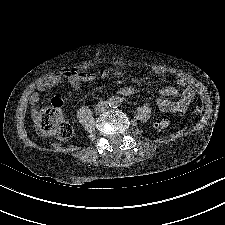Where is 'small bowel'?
<instances>
[{
    "label": "small bowel",
    "mask_w": 225,
    "mask_h": 225,
    "mask_svg": "<svg viewBox=\"0 0 225 225\" xmlns=\"http://www.w3.org/2000/svg\"><path fill=\"white\" fill-rule=\"evenodd\" d=\"M155 72L158 74H161L164 72L163 69L161 68H156ZM69 74L65 76L70 83L71 86L73 87H79L82 82L84 81H91L95 77L91 73H74V72H68ZM120 73L116 72L114 76H119ZM63 80L62 75L60 74H55L51 75L47 78H45L38 86L37 88L33 91L30 97V102L32 105H36L39 100H40V93L46 88H51L56 85H58L61 81ZM178 84L182 87H184L183 94L181 98L177 101H170L164 97L166 96H175L178 91L175 87L173 86H168L163 88L160 93L162 96L157 100V106L160 111L162 112H181L184 111L190 100L193 97V91L192 89L187 85V81L184 77H179L177 80ZM119 93L124 96H131L136 93V89L132 86H124L120 88Z\"/></svg>",
    "instance_id": "c3829d8e"
}]
</instances>
